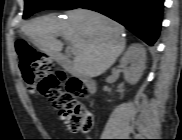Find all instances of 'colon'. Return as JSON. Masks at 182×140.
Here are the masks:
<instances>
[{"mask_svg": "<svg viewBox=\"0 0 182 140\" xmlns=\"http://www.w3.org/2000/svg\"><path fill=\"white\" fill-rule=\"evenodd\" d=\"M15 48L29 92L47 98L53 108L60 111L70 131L91 130L94 119L79 102L86 93L83 82L68 78L63 71H54L51 59L26 40H17Z\"/></svg>", "mask_w": 182, "mask_h": 140, "instance_id": "colon-1", "label": "colon"}]
</instances>
